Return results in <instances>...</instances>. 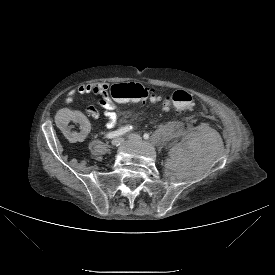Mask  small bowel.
Returning a JSON list of instances; mask_svg holds the SVG:
<instances>
[{
	"mask_svg": "<svg viewBox=\"0 0 275 275\" xmlns=\"http://www.w3.org/2000/svg\"><path fill=\"white\" fill-rule=\"evenodd\" d=\"M111 88V84L107 82L81 84L68 92L66 102L72 103L78 96L85 94H95L99 96L98 104L102 108L103 115L106 119L105 126L107 129H113L117 122V107L111 97ZM86 114L92 118L99 116V112L93 106L87 107ZM55 117L54 125L58 133L73 143L81 141V139L85 138L90 132V124L88 123L86 115L77 107L70 109L69 112L61 108L57 110ZM69 118L74 127L69 124Z\"/></svg>",
	"mask_w": 275,
	"mask_h": 275,
	"instance_id": "c3829d8e",
	"label": "small bowel"
}]
</instances>
